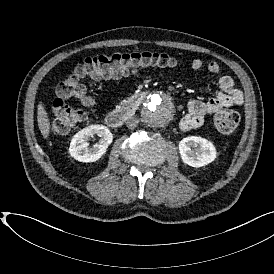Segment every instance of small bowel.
Here are the masks:
<instances>
[{
	"instance_id": "obj_1",
	"label": "small bowel",
	"mask_w": 274,
	"mask_h": 274,
	"mask_svg": "<svg viewBox=\"0 0 274 274\" xmlns=\"http://www.w3.org/2000/svg\"><path fill=\"white\" fill-rule=\"evenodd\" d=\"M203 67L204 62L199 58L191 61L192 70L200 71ZM206 68L212 74L220 72V65L215 61L209 62ZM219 86L221 91L207 101L191 100L188 103L187 114L183 117L180 124L183 131L201 127L208 116L222 108L243 103V92L235 85L234 80L230 76H222L219 79Z\"/></svg>"
}]
</instances>
